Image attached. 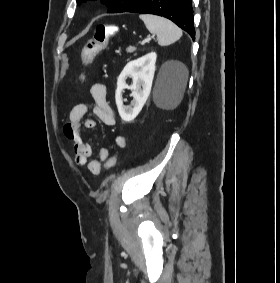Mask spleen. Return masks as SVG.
Wrapping results in <instances>:
<instances>
[{"label":"spleen","mask_w":280,"mask_h":283,"mask_svg":"<svg viewBox=\"0 0 280 283\" xmlns=\"http://www.w3.org/2000/svg\"><path fill=\"white\" fill-rule=\"evenodd\" d=\"M140 19L144 22L150 33L157 35L158 44L160 46H168L176 42L182 37V30L172 21L150 14L140 15ZM183 77L181 80V89L186 86L188 79V71L183 67Z\"/></svg>","instance_id":"3e777b00"}]
</instances>
